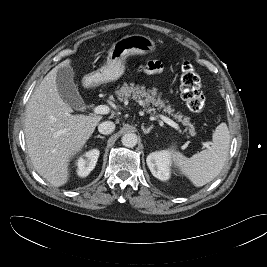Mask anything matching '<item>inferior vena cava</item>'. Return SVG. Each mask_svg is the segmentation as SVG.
<instances>
[{
    "label": "inferior vena cava",
    "mask_w": 267,
    "mask_h": 267,
    "mask_svg": "<svg viewBox=\"0 0 267 267\" xmlns=\"http://www.w3.org/2000/svg\"><path fill=\"white\" fill-rule=\"evenodd\" d=\"M115 130V124L112 121H105L99 124L98 131L101 134H111Z\"/></svg>",
    "instance_id": "602c4592"
}]
</instances>
